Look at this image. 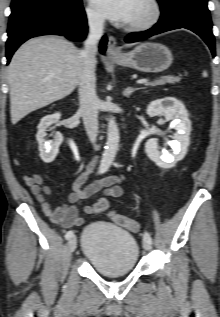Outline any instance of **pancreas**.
<instances>
[{
	"mask_svg": "<svg viewBox=\"0 0 220 317\" xmlns=\"http://www.w3.org/2000/svg\"><path fill=\"white\" fill-rule=\"evenodd\" d=\"M179 81H180L179 77L168 75V76H163L160 79L155 80L153 82L147 83V85H149V86H159V85H164L166 83H171V84L178 83Z\"/></svg>",
	"mask_w": 220,
	"mask_h": 317,
	"instance_id": "obj_1",
	"label": "pancreas"
}]
</instances>
